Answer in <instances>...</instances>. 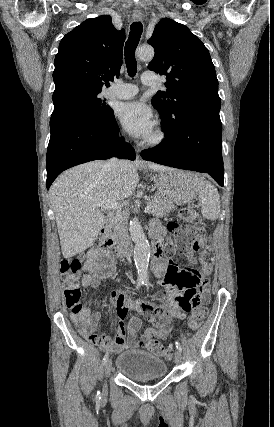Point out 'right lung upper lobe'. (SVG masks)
I'll use <instances>...</instances> for the list:
<instances>
[{
	"mask_svg": "<svg viewBox=\"0 0 274 427\" xmlns=\"http://www.w3.org/2000/svg\"><path fill=\"white\" fill-rule=\"evenodd\" d=\"M124 41V29L116 30L109 15L88 19L66 34L55 56L53 103L107 87L119 76Z\"/></svg>",
	"mask_w": 274,
	"mask_h": 427,
	"instance_id": "obj_1",
	"label": "right lung upper lobe"
}]
</instances>
